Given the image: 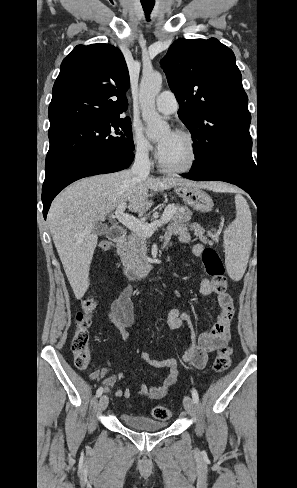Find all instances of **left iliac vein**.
Listing matches in <instances>:
<instances>
[{
	"mask_svg": "<svg viewBox=\"0 0 297 488\" xmlns=\"http://www.w3.org/2000/svg\"><path fill=\"white\" fill-rule=\"evenodd\" d=\"M183 405L188 414L193 415L195 412L194 402L190 396H185Z\"/></svg>",
	"mask_w": 297,
	"mask_h": 488,
	"instance_id": "1",
	"label": "left iliac vein"
}]
</instances>
